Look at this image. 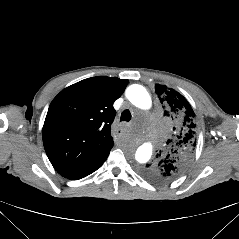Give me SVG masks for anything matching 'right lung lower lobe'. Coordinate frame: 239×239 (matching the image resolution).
<instances>
[{"instance_id": "obj_1", "label": "right lung lower lobe", "mask_w": 239, "mask_h": 239, "mask_svg": "<svg viewBox=\"0 0 239 239\" xmlns=\"http://www.w3.org/2000/svg\"><path fill=\"white\" fill-rule=\"evenodd\" d=\"M110 150L111 148L106 150L103 154H101L98 158H96L94 161H92L90 164H88L84 168L72 173L71 175L66 176V178L71 180H78L93 173L94 171L99 169L102 166V164L105 162V160L107 159L110 153Z\"/></svg>"}]
</instances>
